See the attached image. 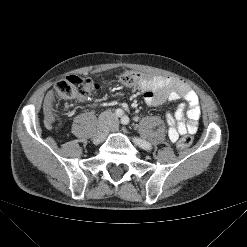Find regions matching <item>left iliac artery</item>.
<instances>
[{
    "label": "left iliac artery",
    "instance_id": "44dca946",
    "mask_svg": "<svg viewBox=\"0 0 247 247\" xmlns=\"http://www.w3.org/2000/svg\"><path fill=\"white\" fill-rule=\"evenodd\" d=\"M121 123L123 125H127L129 123V118L128 116L124 115L122 118H121ZM135 139L138 141V145L140 147H142L143 149L145 150H150L151 149V144L145 140H142L140 138H136Z\"/></svg>",
    "mask_w": 247,
    "mask_h": 247
}]
</instances>
